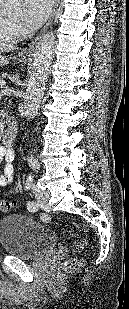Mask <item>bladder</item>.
Segmentation results:
<instances>
[{
    "instance_id": "obj_1",
    "label": "bladder",
    "mask_w": 129,
    "mask_h": 309,
    "mask_svg": "<svg viewBox=\"0 0 129 309\" xmlns=\"http://www.w3.org/2000/svg\"><path fill=\"white\" fill-rule=\"evenodd\" d=\"M0 244L9 255L32 259L55 249L57 237L31 217L11 214L0 220Z\"/></svg>"
}]
</instances>
